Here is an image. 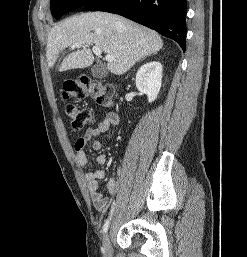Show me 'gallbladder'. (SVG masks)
I'll use <instances>...</instances> for the list:
<instances>
[{
  "label": "gallbladder",
  "mask_w": 247,
  "mask_h": 257,
  "mask_svg": "<svg viewBox=\"0 0 247 257\" xmlns=\"http://www.w3.org/2000/svg\"><path fill=\"white\" fill-rule=\"evenodd\" d=\"M91 75L94 78H99V79L105 78L108 75V69L106 66H104L102 64L94 65L91 68Z\"/></svg>",
  "instance_id": "gallbladder-1"
}]
</instances>
